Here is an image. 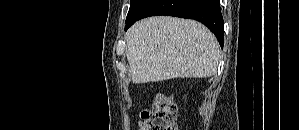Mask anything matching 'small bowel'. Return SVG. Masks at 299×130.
<instances>
[{"mask_svg":"<svg viewBox=\"0 0 299 130\" xmlns=\"http://www.w3.org/2000/svg\"><path fill=\"white\" fill-rule=\"evenodd\" d=\"M140 130H144V129H143V126H141Z\"/></svg>","mask_w":299,"mask_h":130,"instance_id":"c3829d8e","label":"small bowel"}]
</instances>
